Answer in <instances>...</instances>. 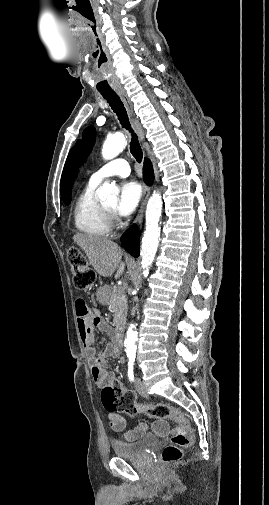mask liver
Here are the masks:
<instances>
[{
  "instance_id": "1",
  "label": "liver",
  "mask_w": 269,
  "mask_h": 505,
  "mask_svg": "<svg viewBox=\"0 0 269 505\" xmlns=\"http://www.w3.org/2000/svg\"><path fill=\"white\" fill-rule=\"evenodd\" d=\"M73 240L84 250L89 263L99 275L110 277L117 270L115 279H118L123 274L125 263L122 262V251L117 243L81 233L74 235Z\"/></svg>"
}]
</instances>
